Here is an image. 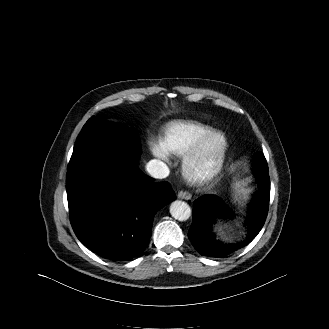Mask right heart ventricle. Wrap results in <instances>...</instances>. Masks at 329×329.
<instances>
[{"label": "right heart ventricle", "instance_id": "1", "mask_svg": "<svg viewBox=\"0 0 329 329\" xmlns=\"http://www.w3.org/2000/svg\"><path fill=\"white\" fill-rule=\"evenodd\" d=\"M213 129L192 121H172L163 130L160 145L171 155L183 156L201 137Z\"/></svg>", "mask_w": 329, "mask_h": 329}]
</instances>
